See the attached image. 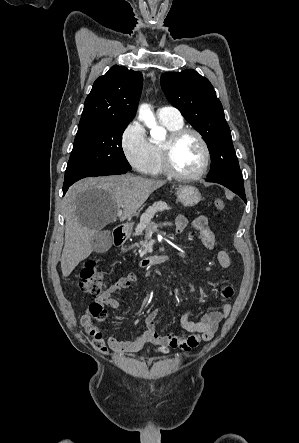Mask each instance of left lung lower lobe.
<instances>
[{
  "label": "left lung lower lobe",
  "mask_w": 299,
  "mask_h": 443,
  "mask_svg": "<svg viewBox=\"0 0 299 443\" xmlns=\"http://www.w3.org/2000/svg\"><path fill=\"white\" fill-rule=\"evenodd\" d=\"M207 181L219 183V184L227 187L228 189H230L231 191H233L234 193L239 195L246 203V196H245L243 182L232 180V179H225V178H208Z\"/></svg>",
  "instance_id": "left-lung-lower-lobe-1"
}]
</instances>
